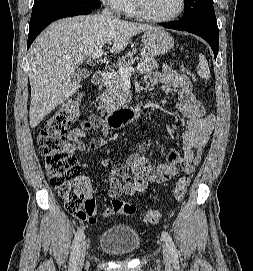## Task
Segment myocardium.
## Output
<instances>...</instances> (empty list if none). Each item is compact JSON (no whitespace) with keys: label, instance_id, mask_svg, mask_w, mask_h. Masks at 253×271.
Listing matches in <instances>:
<instances>
[{"label":"myocardium","instance_id":"myocardium-1","mask_svg":"<svg viewBox=\"0 0 253 271\" xmlns=\"http://www.w3.org/2000/svg\"><path fill=\"white\" fill-rule=\"evenodd\" d=\"M133 1H134L137 15H139L141 18L147 21L154 22V23H169L176 20L178 17H180L183 14L185 10V6H186V0H179V6L175 13L167 17H155L147 13L144 7L143 0H133Z\"/></svg>","mask_w":253,"mask_h":271}]
</instances>
